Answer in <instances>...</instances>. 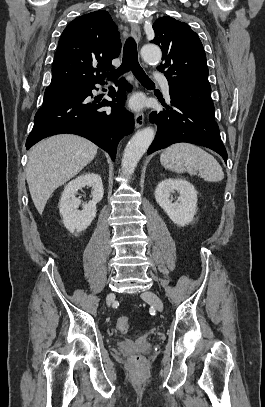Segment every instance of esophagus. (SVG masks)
I'll return each instance as SVG.
<instances>
[{
    "label": "esophagus",
    "instance_id": "obj_1",
    "mask_svg": "<svg viewBox=\"0 0 265 407\" xmlns=\"http://www.w3.org/2000/svg\"><path fill=\"white\" fill-rule=\"evenodd\" d=\"M131 34L137 43L140 42L141 39V30L137 23H131ZM144 124V113L138 112L135 115V128H141Z\"/></svg>",
    "mask_w": 265,
    "mask_h": 407
}]
</instances>
